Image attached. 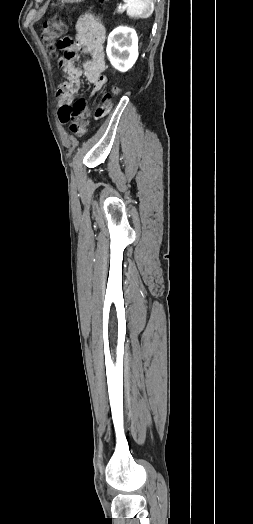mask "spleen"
Here are the masks:
<instances>
[{"label": "spleen", "mask_w": 253, "mask_h": 524, "mask_svg": "<svg viewBox=\"0 0 253 524\" xmlns=\"http://www.w3.org/2000/svg\"><path fill=\"white\" fill-rule=\"evenodd\" d=\"M127 6V15L134 18L146 19L154 10L152 0H123Z\"/></svg>", "instance_id": "obj_1"}]
</instances>
